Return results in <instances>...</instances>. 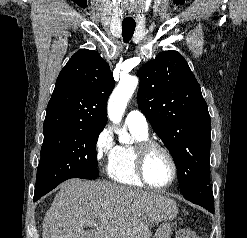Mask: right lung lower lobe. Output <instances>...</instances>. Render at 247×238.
Instances as JSON below:
<instances>
[{
    "label": "right lung lower lobe",
    "mask_w": 247,
    "mask_h": 238,
    "mask_svg": "<svg viewBox=\"0 0 247 238\" xmlns=\"http://www.w3.org/2000/svg\"><path fill=\"white\" fill-rule=\"evenodd\" d=\"M36 200H38V199L34 198V201H36Z\"/></svg>",
    "instance_id": "obj_1"
}]
</instances>
